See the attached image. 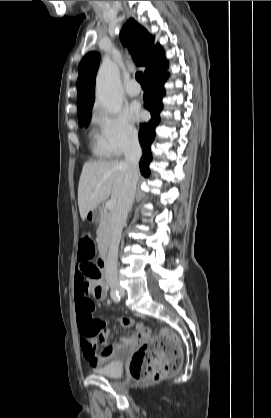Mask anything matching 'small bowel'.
Instances as JSON below:
<instances>
[{"instance_id":"c3829d8e","label":"small bowel","mask_w":271,"mask_h":418,"mask_svg":"<svg viewBox=\"0 0 271 418\" xmlns=\"http://www.w3.org/2000/svg\"><path fill=\"white\" fill-rule=\"evenodd\" d=\"M106 287L102 281V268L93 261H77L74 276V312L80 335V346L84 358L94 367H100L106 362L124 355L130 346H136L145 336L142 325L136 326V334L131 338H123L120 342L107 345L110 335L108 330H102L103 321L100 314H93L95 300L106 298ZM123 328H130L134 320L129 317L119 319ZM102 330V331H101ZM101 331V332H100ZM102 349L98 350V344Z\"/></svg>"}]
</instances>
